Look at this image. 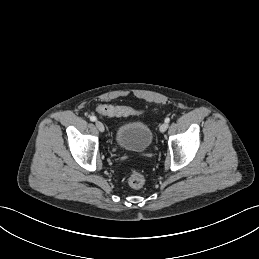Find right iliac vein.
Instances as JSON below:
<instances>
[{"label": "right iliac vein", "instance_id": "1", "mask_svg": "<svg viewBox=\"0 0 259 259\" xmlns=\"http://www.w3.org/2000/svg\"><path fill=\"white\" fill-rule=\"evenodd\" d=\"M95 125L97 127V129L100 131V132H104L105 128H104V125L101 121H96L95 122Z\"/></svg>", "mask_w": 259, "mask_h": 259}]
</instances>
